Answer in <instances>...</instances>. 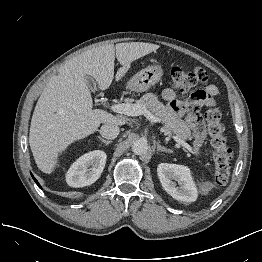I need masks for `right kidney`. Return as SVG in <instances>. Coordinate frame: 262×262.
Segmentation results:
<instances>
[{
    "mask_svg": "<svg viewBox=\"0 0 262 262\" xmlns=\"http://www.w3.org/2000/svg\"><path fill=\"white\" fill-rule=\"evenodd\" d=\"M106 153L101 150L88 152L79 157L66 173V182L71 187L93 184L100 177L106 163Z\"/></svg>",
    "mask_w": 262,
    "mask_h": 262,
    "instance_id": "ca27d5eb",
    "label": "right kidney"
}]
</instances>
